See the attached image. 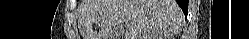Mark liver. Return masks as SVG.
<instances>
[{"label": "liver", "mask_w": 249, "mask_h": 39, "mask_svg": "<svg viewBox=\"0 0 249 39\" xmlns=\"http://www.w3.org/2000/svg\"><path fill=\"white\" fill-rule=\"evenodd\" d=\"M79 13L83 39H117L112 30L123 23L122 39H151L179 32L183 20L175 0H84Z\"/></svg>", "instance_id": "1"}]
</instances>
